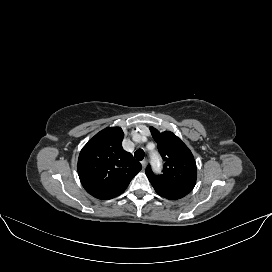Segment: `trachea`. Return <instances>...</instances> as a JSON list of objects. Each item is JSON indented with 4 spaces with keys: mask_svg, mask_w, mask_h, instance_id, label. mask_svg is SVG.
<instances>
[{
    "mask_svg": "<svg viewBox=\"0 0 272 272\" xmlns=\"http://www.w3.org/2000/svg\"><path fill=\"white\" fill-rule=\"evenodd\" d=\"M144 151L142 150V149H138L135 153H134V157L137 159V160H139V161H141V160H143V158H144Z\"/></svg>",
    "mask_w": 272,
    "mask_h": 272,
    "instance_id": "3493384b",
    "label": "trachea"
}]
</instances>
